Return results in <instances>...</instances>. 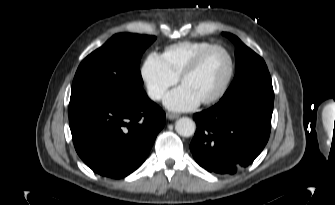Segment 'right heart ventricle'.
I'll list each match as a JSON object with an SVG mask.
<instances>
[{
    "label": "right heart ventricle",
    "instance_id": "e07e8e85",
    "mask_svg": "<svg viewBox=\"0 0 335 205\" xmlns=\"http://www.w3.org/2000/svg\"><path fill=\"white\" fill-rule=\"evenodd\" d=\"M212 43L207 41H181L167 46L161 57L168 68L178 77L193 58Z\"/></svg>",
    "mask_w": 335,
    "mask_h": 205
}]
</instances>
